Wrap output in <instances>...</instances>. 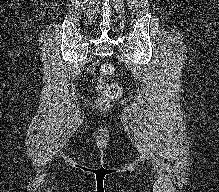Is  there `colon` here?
I'll use <instances>...</instances> for the list:
<instances>
[{"label": "colon", "instance_id": "obj_1", "mask_svg": "<svg viewBox=\"0 0 219 192\" xmlns=\"http://www.w3.org/2000/svg\"><path fill=\"white\" fill-rule=\"evenodd\" d=\"M114 73V67L110 64H103L100 67V76H110ZM99 92L101 93V98L99 102L101 106H107L111 102L117 100L122 95V87L115 82H105L103 80L99 81L98 84Z\"/></svg>", "mask_w": 219, "mask_h": 192}]
</instances>
